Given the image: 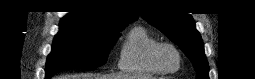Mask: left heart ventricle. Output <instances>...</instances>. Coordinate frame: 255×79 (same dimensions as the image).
<instances>
[{"label": "left heart ventricle", "mask_w": 255, "mask_h": 79, "mask_svg": "<svg viewBox=\"0 0 255 79\" xmlns=\"http://www.w3.org/2000/svg\"><path fill=\"white\" fill-rule=\"evenodd\" d=\"M160 58L164 65L168 68H176L178 65V57L170 48L162 49Z\"/></svg>", "instance_id": "b2bd125f"}]
</instances>
